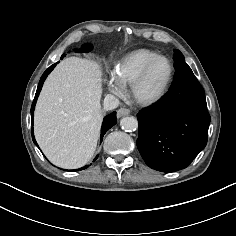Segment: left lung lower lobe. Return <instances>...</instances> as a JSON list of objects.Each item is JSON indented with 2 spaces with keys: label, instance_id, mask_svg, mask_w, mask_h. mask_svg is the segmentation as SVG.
<instances>
[{
  "label": "left lung lower lobe",
  "instance_id": "obj_1",
  "mask_svg": "<svg viewBox=\"0 0 236 236\" xmlns=\"http://www.w3.org/2000/svg\"><path fill=\"white\" fill-rule=\"evenodd\" d=\"M137 117V147L155 170L184 169L207 144L210 115L205 93L189 66L176 69L168 93Z\"/></svg>",
  "mask_w": 236,
  "mask_h": 236
}]
</instances>
